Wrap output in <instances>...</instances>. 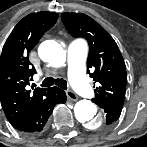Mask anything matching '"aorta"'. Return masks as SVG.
I'll return each mask as SVG.
<instances>
[{
  "label": "aorta",
  "mask_w": 147,
  "mask_h": 147,
  "mask_svg": "<svg viewBox=\"0 0 147 147\" xmlns=\"http://www.w3.org/2000/svg\"><path fill=\"white\" fill-rule=\"evenodd\" d=\"M38 54L44 62L50 63L53 67H61L65 62V52L54 40L42 42ZM76 119L87 128L94 129L103 124L105 117L98 113L97 106L89 100H80L74 106Z\"/></svg>",
  "instance_id": "762f6f07"
}]
</instances>
